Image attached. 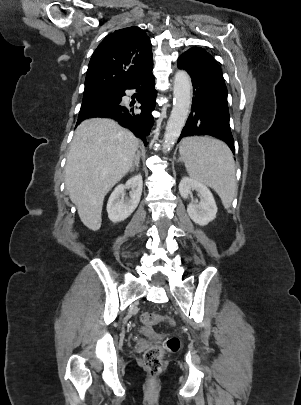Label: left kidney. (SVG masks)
I'll return each mask as SVG.
<instances>
[{
  "mask_svg": "<svg viewBox=\"0 0 301 405\" xmlns=\"http://www.w3.org/2000/svg\"><path fill=\"white\" fill-rule=\"evenodd\" d=\"M192 190L201 198L200 202L187 206L189 217L201 226L207 225L216 218L217 206L211 191L201 182L193 178L183 177L179 184V192L183 199H188Z\"/></svg>",
  "mask_w": 301,
  "mask_h": 405,
  "instance_id": "1",
  "label": "left kidney"
}]
</instances>
